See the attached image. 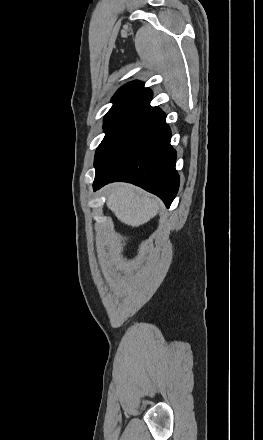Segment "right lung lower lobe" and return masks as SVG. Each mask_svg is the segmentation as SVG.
Returning a JSON list of instances; mask_svg holds the SVG:
<instances>
[{
	"mask_svg": "<svg viewBox=\"0 0 263 440\" xmlns=\"http://www.w3.org/2000/svg\"><path fill=\"white\" fill-rule=\"evenodd\" d=\"M170 139L166 115L161 111L109 174L104 178H95L94 191L111 182H129L159 196L169 207L179 188V176L175 169L177 155Z\"/></svg>",
	"mask_w": 263,
	"mask_h": 440,
	"instance_id": "right-lung-lower-lobe-1",
	"label": "right lung lower lobe"
}]
</instances>
